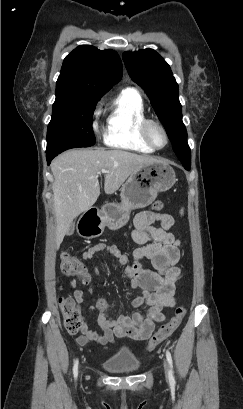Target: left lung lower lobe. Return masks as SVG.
<instances>
[{"label":"left lung lower lobe","mask_w":243,"mask_h":409,"mask_svg":"<svg viewBox=\"0 0 243 409\" xmlns=\"http://www.w3.org/2000/svg\"><path fill=\"white\" fill-rule=\"evenodd\" d=\"M186 170H190V166H184Z\"/></svg>","instance_id":"1"}]
</instances>
